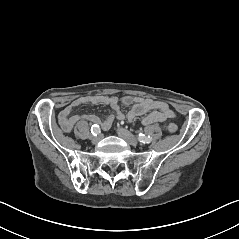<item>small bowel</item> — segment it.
Returning a JSON list of instances; mask_svg holds the SVG:
<instances>
[{
	"label": "small bowel",
	"mask_w": 239,
	"mask_h": 239,
	"mask_svg": "<svg viewBox=\"0 0 239 239\" xmlns=\"http://www.w3.org/2000/svg\"><path fill=\"white\" fill-rule=\"evenodd\" d=\"M122 103L126 106H130V110L127 114L129 121L135 120L137 117L142 116L141 124L150 125L153 123H163L167 120L174 119L176 113L168 103L159 100H152L149 98H140L132 96H124L121 99ZM119 97L112 96H84L74 100L67 105L59 115V123L65 132H70L75 123L78 121H89L98 125L103 129H109L115 119L122 120L125 118L123 111L120 108ZM87 104H103L109 105L112 112L105 117H98L91 114H73V111L81 106Z\"/></svg>",
	"instance_id": "small-bowel-1"
}]
</instances>
